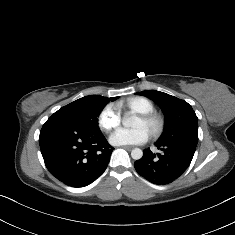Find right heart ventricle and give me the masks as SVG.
I'll return each mask as SVG.
<instances>
[{"label": "right heart ventricle", "mask_w": 235, "mask_h": 235, "mask_svg": "<svg viewBox=\"0 0 235 235\" xmlns=\"http://www.w3.org/2000/svg\"><path fill=\"white\" fill-rule=\"evenodd\" d=\"M120 106L126 110H130L138 114H149L154 111L153 102L142 96L129 97L122 101Z\"/></svg>", "instance_id": "obj_1"}]
</instances>
